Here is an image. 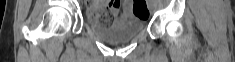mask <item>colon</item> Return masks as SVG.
<instances>
[{
  "label": "colon",
  "instance_id": "obj_1",
  "mask_svg": "<svg viewBox=\"0 0 235 62\" xmlns=\"http://www.w3.org/2000/svg\"><path fill=\"white\" fill-rule=\"evenodd\" d=\"M134 13L141 18L148 17V8L145 0H134ZM98 22L104 26H108L112 23V17L107 5L101 2L98 12Z\"/></svg>",
  "mask_w": 235,
  "mask_h": 62
}]
</instances>
